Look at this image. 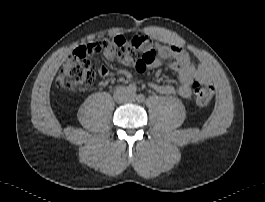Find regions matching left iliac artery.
<instances>
[{
  "label": "left iliac artery",
  "mask_w": 265,
  "mask_h": 202,
  "mask_svg": "<svg viewBox=\"0 0 265 202\" xmlns=\"http://www.w3.org/2000/svg\"><path fill=\"white\" fill-rule=\"evenodd\" d=\"M136 99L138 102H143L145 100V96L143 94H139Z\"/></svg>",
  "instance_id": "1"
}]
</instances>
